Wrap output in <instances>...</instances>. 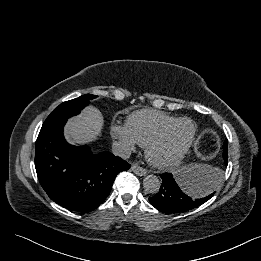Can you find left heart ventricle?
Instances as JSON below:
<instances>
[{
	"label": "left heart ventricle",
	"mask_w": 261,
	"mask_h": 261,
	"mask_svg": "<svg viewBox=\"0 0 261 261\" xmlns=\"http://www.w3.org/2000/svg\"><path fill=\"white\" fill-rule=\"evenodd\" d=\"M191 131L192 126L188 122H181L176 125L155 148V156L163 160L174 157L186 144Z\"/></svg>",
	"instance_id": "b2bd125f"
}]
</instances>
